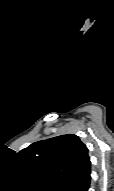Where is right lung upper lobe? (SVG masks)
Segmentation results:
<instances>
[{"instance_id":"obj_1","label":"right lung upper lobe","mask_w":114,"mask_h":191,"mask_svg":"<svg viewBox=\"0 0 114 191\" xmlns=\"http://www.w3.org/2000/svg\"><path fill=\"white\" fill-rule=\"evenodd\" d=\"M18 157L42 189L59 187L91 173L88 149L72 134L35 142L21 150Z\"/></svg>"}]
</instances>
